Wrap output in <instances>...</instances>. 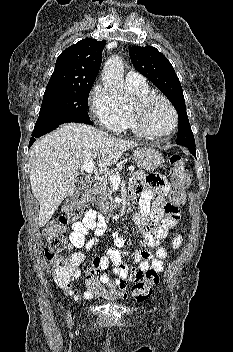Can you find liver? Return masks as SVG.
<instances>
[{
	"label": "liver",
	"mask_w": 233,
	"mask_h": 352,
	"mask_svg": "<svg viewBox=\"0 0 233 352\" xmlns=\"http://www.w3.org/2000/svg\"><path fill=\"white\" fill-rule=\"evenodd\" d=\"M138 143L112 137L85 124L68 123L38 140L30 151V184L40 203L38 223L46 225L61 202L77 190L82 165L98 159L106 172L121 155Z\"/></svg>",
	"instance_id": "obj_1"
}]
</instances>
